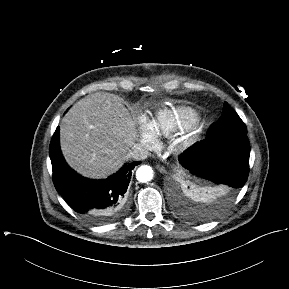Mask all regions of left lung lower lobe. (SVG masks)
Masks as SVG:
<instances>
[{"mask_svg":"<svg viewBox=\"0 0 289 289\" xmlns=\"http://www.w3.org/2000/svg\"><path fill=\"white\" fill-rule=\"evenodd\" d=\"M249 155L246 133H225L195 143L179 156V162L191 174L217 185L227 197L245 184Z\"/></svg>","mask_w":289,"mask_h":289,"instance_id":"1","label":"left lung lower lobe"}]
</instances>
